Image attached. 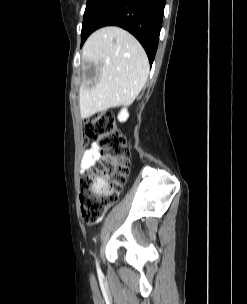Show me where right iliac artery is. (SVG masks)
Instances as JSON below:
<instances>
[{"mask_svg":"<svg viewBox=\"0 0 247 304\" xmlns=\"http://www.w3.org/2000/svg\"><path fill=\"white\" fill-rule=\"evenodd\" d=\"M96 267H97V272H98V275H102V272L100 270V267H99V264H98V261L96 260Z\"/></svg>","mask_w":247,"mask_h":304,"instance_id":"right-iliac-artery-1","label":"right iliac artery"}]
</instances>
